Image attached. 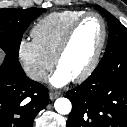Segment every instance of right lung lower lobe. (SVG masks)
Returning <instances> with one entry per match:
<instances>
[{
    "instance_id": "1",
    "label": "right lung lower lobe",
    "mask_w": 127,
    "mask_h": 127,
    "mask_svg": "<svg viewBox=\"0 0 127 127\" xmlns=\"http://www.w3.org/2000/svg\"><path fill=\"white\" fill-rule=\"evenodd\" d=\"M48 102L47 88L29 79L18 60L6 56L0 66V127H32Z\"/></svg>"
}]
</instances>
